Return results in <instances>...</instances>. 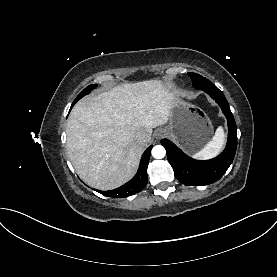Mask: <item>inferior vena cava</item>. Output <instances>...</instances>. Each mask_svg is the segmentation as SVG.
<instances>
[{"label":"inferior vena cava","mask_w":277,"mask_h":277,"mask_svg":"<svg viewBox=\"0 0 277 277\" xmlns=\"http://www.w3.org/2000/svg\"><path fill=\"white\" fill-rule=\"evenodd\" d=\"M149 140V136L144 131H139L135 134V141L138 144H145Z\"/></svg>","instance_id":"inferior-vena-cava-1"}]
</instances>
